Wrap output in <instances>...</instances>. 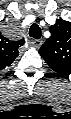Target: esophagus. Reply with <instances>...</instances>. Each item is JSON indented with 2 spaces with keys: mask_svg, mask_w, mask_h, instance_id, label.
<instances>
[{
  "mask_svg": "<svg viewBox=\"0 0 71 119\" xmlns=\"http://www.w3.org/2000/svg\"><path fill=\"white\" fill-rule=\"evenodd\" d=\"M43 44V41L40 39H34L31 41V45L35 48H39Z\"/></svg>",
  "mask_w": 71,
  "mask_h": 119,
  "instance_id": "obj_1",
  "label": "esophagus"
}]
</instances>
